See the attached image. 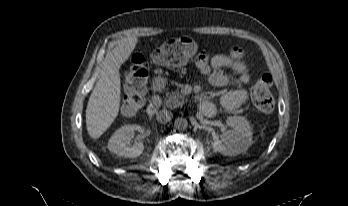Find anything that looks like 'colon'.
Wrapping results in <instances>:
<instances>
[{
    "mask_svg": "<svg viewBox=\"0 0 348 206\" xmlns=\"http://www.w3.org/2000/svg\"><path fill=\"white\" fill-rule=\"evenodd\" d=\"M191 52L190 43L184 38L170 39L153 51L152 60L158 65L180 66L186 62ZM147 76L144 56L140 53L133 54L126 73V96L122 103L124 113L135 114L144 106ZM271 85V77L265 74L259 76L251 88V100L260 112L267 113L274 108Z\"/></svg>",
    "mask_w": 348,
    "mask_h": 206,
    "instance_id": "colon-1",
    "label": "colon"
}]
</instances>
